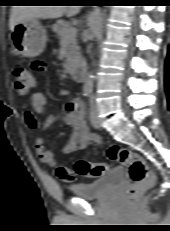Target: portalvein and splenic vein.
I'll list each match as a JSON object with an SVG mask.
<instances>
[{"label": "portal vein and splenic vein", "mask_w": 170, "mask_h": 231, "mask_svg": "<svg viewBox=\"0 0 170 231\" xmlns=\"http://www.w3.org/2000/svg\"><path fill=\"white\" fill-rule=\"evenodd\" d=\"M77 33V29L72 27L69 30H67L64 34V40H68L70 37L75 36Z\"/></svg>", "instance_id": "1"}]
</instances>
